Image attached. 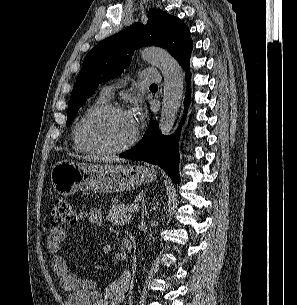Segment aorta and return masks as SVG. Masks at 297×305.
Instances as JSON below:
<instances>
[{"label":"aorta","mask_w":297,"mask_h":305,"mask_svg":"<svg viewBox=\"0 0 297 305\" xmlns=\"http://www.w3.org/2000/svg\"><path fill=\"white\" fill-rule=\"evenodd\" d=\"M144 61L157 66L164 77V90L159 127L163 135H169L179 111L184 86V75L179 63L165 50L146 47L140 52Z\"/></svg>","instance_id":"aorta-1"}]
</instances>
